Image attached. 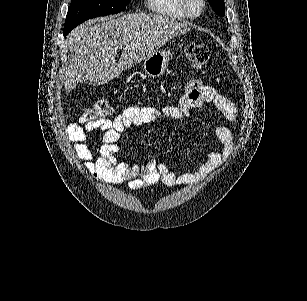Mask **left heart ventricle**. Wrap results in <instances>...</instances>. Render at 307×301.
<instances>
[{
  "label": "left heart ventricle",
  "mask_w": 307,
  "mask_h": 301,
  "mask_svg": "<svg viewBox=\"0 0 307 301\" xmlns=\"http://www.w3.org/2000/svg\"><path fill=\"white\" fill-rule=\"evenodd\" d=\"M195 12V7L192 6V9L190 10V13H194Z\"/></svg>",
  "instance_id": "left-heart-ventricle-1"
}]
</instances>
